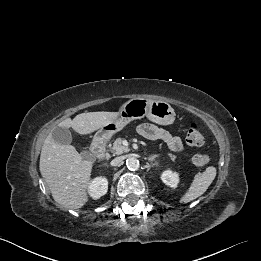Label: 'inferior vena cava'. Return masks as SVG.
<instances>
[{"mask_svg":"<svg viewBox=\"0 0 261 261\" xmlns=\"http://www.w3.org/2000/svg\"><path fill=\"white\" fill-rule=\"evenodd\" d=\"M122 161V157H116L110 162V164L111 166H120L122 164Z\"/></svg>","mask_w":261,"mask_h":261,"instance_id":"602c4592","label":"inferior vena cava"}]
</instances>
